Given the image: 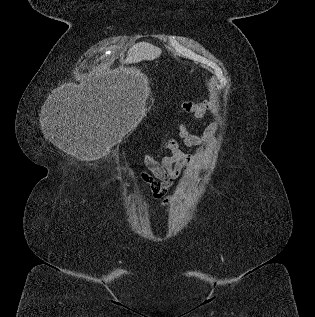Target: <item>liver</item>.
I'll return each mask as SVG.
<instances>
[{
	"instance_id": "liver-1",
	"label": "liver",
	"mask_w": 315,
	"mask_h": 317,
	"mask_svg": "<svg viewBox=\"0 0 315 317\" xmlns=\"http://www.w3.org/2000/svg\"><path fill=\"white\" fill-rule=\"evenodd\" d=\"M162 50L152 45H136L132 47L126 59L123 61L126 64L138 63L143 60H154L160 57ZM125 96V94H123Z\"/></svg>"
}]
</instances>
